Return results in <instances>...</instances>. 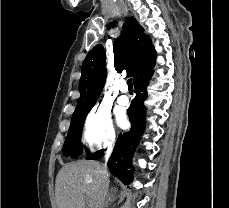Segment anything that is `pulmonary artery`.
I'll use <instances>...</instances> for the list:
<instances>
[{
    "label": "pulmonary artery",
    "mask_w": 229,
    "mask_h": 208,
    "mask_svg": "<svg viewBox=\"0 0 229 208\" xmlns=\"http://www.w3.org/2000/svg\"><path fill=\"white\" fill-rule=\"evenodd\" d=\"M120 91L122 94L118 98L119 103L121 105H128L130 102L129 96L127 95L128 86L124 80L120 83Z\"/></svg>",
    "instance_id": "1"
}]
</instances>
